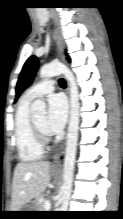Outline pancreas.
Listing matches in <instances>:
<instances>
[{
    "mask_svg": "<svg viewBox=\"0 0 123 219\" xmlns=\"http://www.w3.org/2000/svg\"><path fill=\"white\" fill-rule=\"evenodd\" d=\"M42 199H43V196H39L36 199L35 205H36V208H37L38 211H45V209H44V203L45 202Z\"/></svg>",
    "mask_w": 123,
    "mask_h": 219,
    "instance_id": "1",
    "label": "pancreas"
}]
</instances>
